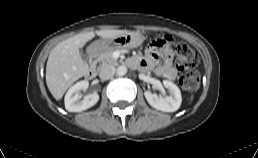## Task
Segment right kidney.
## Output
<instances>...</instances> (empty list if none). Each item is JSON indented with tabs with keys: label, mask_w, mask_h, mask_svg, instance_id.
<instances>
[{
	"label": "right kidney",
	"mask_w": 258,
	"mask_h": 158,
	"mask_svg": "<svg viewBox=\"0 0 258 158\" xmlns=\"http://www.w3.org/2000/svg\"><path fill=\"white\" fill-rule=\"evenodd\" d=\"M88 86V81L83 80L77 82L68 90L64 98L66 110L69 112H81L94 106L98 102L99 95L97 93L88 94L80 101L81 90H86Z\"/></svg>",
	"instance_id": "right-kidney-1"
}]
</instances>
